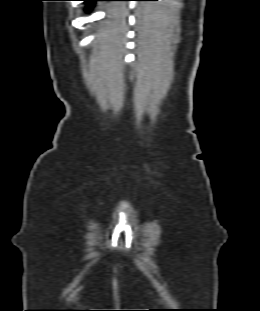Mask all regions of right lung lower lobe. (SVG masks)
<instances>
[{"label":"right lung lower lobe","mask_w":260,"mask_h":311,"mask_svg":"<svg viewBox=\"0 0 260 311\" xmlns=\"http://www.w3.org/2000/svg\"><path fill=\"white\" fill-rule=\"evenodd\" d=\"M85 1L86 3H88V8L87 9H91L92 8V3L98 0H82Z\"/></svg>","instance_id":"right-lung-lower-lobe-1"}]
</instances>
